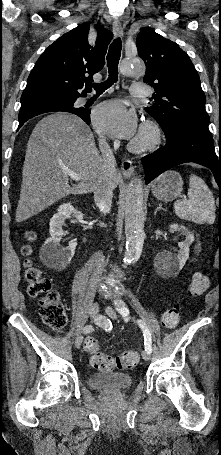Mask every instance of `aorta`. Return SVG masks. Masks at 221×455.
<instances>
[{
    "label": "aorta",
    "mask_w": 221,
    "mask_h": 455,
    "mask_svg": "<svg viewBox=\"0 0 221 455\" xmlns=\"http://www.w3.org/2000/svg\"><path fill=\"white\" fill-rule=\"evenodd\" d=\"M124 76L143 75L144 63L137 57H126L120 64ZM126 250L124 262L131 263L139 259L144 244V208L143 183L135 178L129 183L124 204Z\"/></svg>",
    "instance_id": "1"
}]
</instances>
